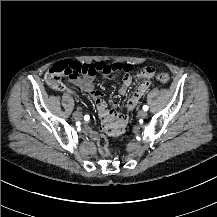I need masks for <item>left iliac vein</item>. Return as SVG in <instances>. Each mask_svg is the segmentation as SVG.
<instances>
[{
    "mask_svg": "<svg viewBox=\"0 0 217 217\" xmlns=\"http://www.w3.org/2000/svg\"><path fill=\"white\" fill-rule=\"evenodd\" d=\"M138 117H139V118H142V119L146 118V117H147V112L144 111V110H140V111L138 112Z\"/></svg>",
    "mask_w": 217,
    "mask_h": 217,
    "instance_id": "left-iliac-vein-1",
    "label": "left iliac vein"
}]
</instances>
